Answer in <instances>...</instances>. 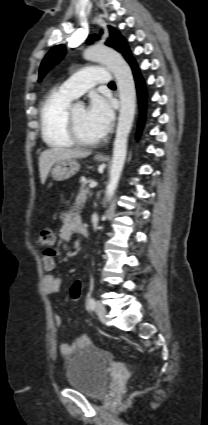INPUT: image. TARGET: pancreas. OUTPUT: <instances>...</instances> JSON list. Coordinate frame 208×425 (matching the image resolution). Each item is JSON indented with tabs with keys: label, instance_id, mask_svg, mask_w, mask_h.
I'll use <instances>...</instances> for the list:
<instances>
[{
	"label": "pancreas",
	"instance_id": "1",
	"mask_svg": "<svg viewBox=\"0 0 208 425\" xmlns=\"http://www.w3.org/2000/svg\"><path fill=\"white\" fill-rule=\"evenodd\" d=\"M90 182H92L91 179L80 181L81 187H80V190H79L78 195L76 197V204L77 205H79V206L83 205L86 202L88 195H91L89 188L86 187V184L90 183Z\"/></svg>",
	"mask_w": 208,
	"mask_h": 425
}]
</instances>
